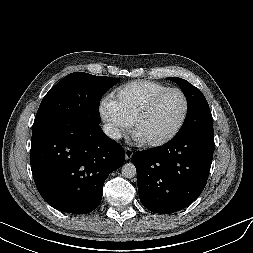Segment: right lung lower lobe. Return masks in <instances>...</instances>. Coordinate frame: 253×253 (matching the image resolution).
<instances>
[{"mask_svg":"<svg viewBox=\"0 0 253 253\" xmlns=\"http://www.w3.org/2000/svg\"><path fill=\"white\" fill-rule=\"evenodd\" d=\"M125 160L99 125L77 123L32 134L30 161L43 199L62 212L85 214L101 202L104 181Z\"/></svg>","mask_w":253,"mask_h":253,"instance_id":"right-lung-lower-lobe-1","label":"right lung lower lobe"}]
</instances>
